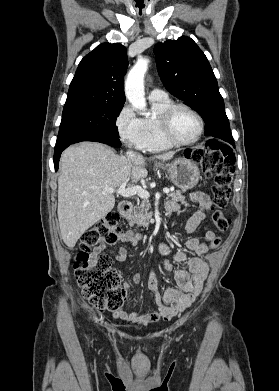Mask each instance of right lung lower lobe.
<instances>
[{
	"label": "right lung lower lobe",
	"instance_id": "right-lung-lower-lobe-1",
	"mask_svg": "<svg viewBox=\"0 0 279 391\" xmlns=\"http://www.w3.org/2000/svg\"><path fill=\"white\" fill-rule=\"evenodd\" d=\"M81 141H96V142L106 143V144L112 145L114 147H120V145H121V142H120L118 136L113 135L111 133H105V134L93 136V137H90V138H87V139L81 140ZM69 145L70 144L55 146V152H54L55 170L58 169L59 158L61 156L62 151L65 148H67Z\"/></svg>",
	"mask_w": 279,
	"mask_h": 391
}]
</instances>
